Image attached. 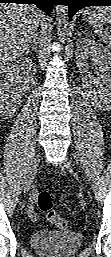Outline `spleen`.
<instances>
[{
  "mask_svg": "<svg viewBox=\"0 0 111 257\" xmlns=\"http://www.w3.org/2000/svg\"><path fill=\"white\" fill-rule=\"evenodd\" d=\"M88 22L93 25L94 32L102 37V39L111 48V29L102 27V23L106 22L111 25V7H94L90 9L87 16Z\"/></svg>",
  "mask_w": 111,
  "mask_h": 257,
  "instance_id": "spleen-1",
  "label": "spleen"
}]
</instances>
